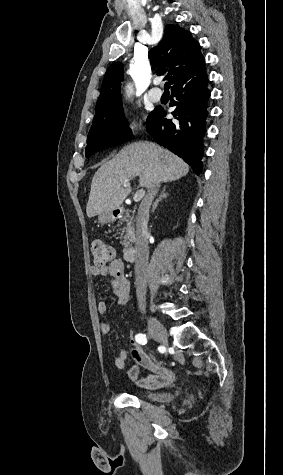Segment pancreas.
Segmentation results:
<instances>
[{
    "instance_id": "obj_1",
    "label": "pancreas",
    "mask_w": 283,
    "mask_h": 475,
    "mask_svg": "<svg viewBox=\"0 0 283 475\" xmlns=\"http://www.w3.org/2000/svg\"><path fill=\"white\" fill-rule=\"evenodd\" d=\"M132 222H126V226L125 228H123L124 232H126V234H124V236H122V241H120V243H122V245H124V249L123 251H126V249H128V247H131V241H134L135 239V234H134V230L131 226Z\"/></svg>"
}]
</instances>
